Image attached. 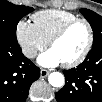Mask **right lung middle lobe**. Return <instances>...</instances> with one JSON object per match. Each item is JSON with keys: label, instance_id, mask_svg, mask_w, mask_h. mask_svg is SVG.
<instances>
[{"label": "right lung middle lobe", "instance_id": "1", "mask_svg": "<svg viewBox=\"0 0 102 102\" xmlns=\"http://www.w3.org/2000/svg\"><path fill=\"white\" fill-rule=\"evenodd\" d=\"M33 10L32 7L14 5L5 0L0 1V40L17 42V24L22 17Z\"/></svg>", "mask_w": 102, "mask_h": 102}]
</instances>
